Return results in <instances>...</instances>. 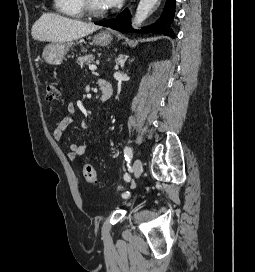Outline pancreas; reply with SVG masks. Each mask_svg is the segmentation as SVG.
Masks as SVG:
<instances>
[{"mask_svg":"<svg viewBox=\"0 0 255 272\" xmlns=\"http://www.w3.org/2000/svg\"><path fill=\"white\" fill-rule=\"evenodd\" d=\"M95 60V57L92 54H87L85 56L79 57L77 59V64L80 65L81 67L84 66V64H90Z\"/></svg>","mask_w":255,"mask_h":272,"instance_id":"1","label":"pancreas"}]
</instances>
